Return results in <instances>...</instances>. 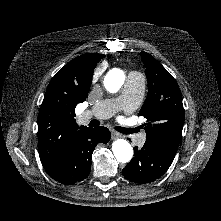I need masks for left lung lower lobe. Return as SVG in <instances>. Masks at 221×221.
I'll return each mask as SVG.
<instances>
[{"instance_id":"0a47b994","label":"left lung lower lobe","mask_w":221,"mask_h":221,"mask_svg":"<svg viewBox=\"0 0 221 221\" xmlns=\"http://www.w3.org/2000/svg\"><path fill=\"white\" fill-rule=\"evenodd\" d=\"M178 147L173 145H149L134 147V158L122 170L132 182L145 184L161 177L172 164Z\"/></svg>"}]
</instances>
